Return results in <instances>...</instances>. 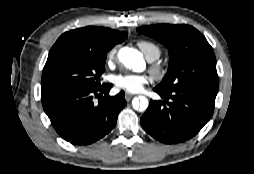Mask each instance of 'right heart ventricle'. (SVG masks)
Wrapping results in <instances>:
<instances>
[{
  "mask_svg": "<svg viewBox=\"0 0 254 174\" xmlns=\"http://www.w3.org/2000/svg\"><path fill=\"white\" fill-rule=\"evenodd\" d=\"M137 45L149 61L158 59L161 55V48L158 44L150 40H140Z\"/></svg>",
  "mask_w": 254,
  "mask_h": 174,
  "instance_id": "right-heart-ventricle-1",
  "label": "right heart ventricle"
}]
</instances>
